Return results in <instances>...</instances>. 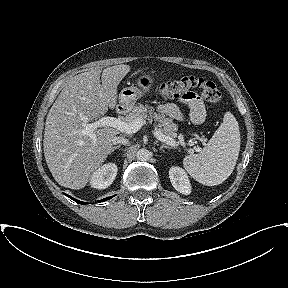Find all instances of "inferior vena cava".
<instances>
[{
  "label": "inferior vena cava",
  "mask_w": 288,
  "mask_h": 288,
  "mask_svg": "<svg viewBox=\"0 0 288 288\" xmlns=\"http://www.w3.org/2000/svg\"><path fill=\"white\" fill-rule=\"evenodd\" d=\"M112 143H113L114 145H116V144L126 145V144L128 143V140H127L126 138H124V137L118 136V137H114V138L112 139Z\"/></svg>",
  "instance_id": "obj_1"
}]
</instances>
